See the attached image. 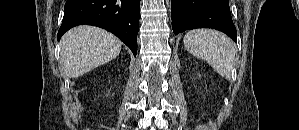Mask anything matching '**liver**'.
<instances>
[{"label": "liver", "mask_w": 299, "mask_h": 130, "mask_svg": "<svg viewBox=\"0 0 299 130\" xmlns=\"http://www.w3.org/2000/svg\"><path fill=\"white\" fill-rule=\"evenodd\" d=\"M60 66L68 78H77L118 56L122 42L93 26H78L61 39Z\"/></svg>", "instance_id": "liver-1"}]
</instances>
